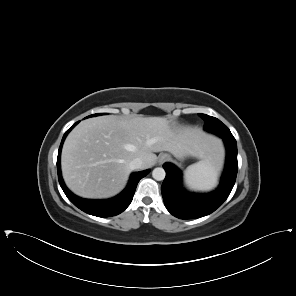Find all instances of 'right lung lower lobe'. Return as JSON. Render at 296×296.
I'll return each instance as SVG.
<instances>
[{
	"mask_svg": "<svg viewBox=\"0 0 296 296\" xmlns=\"http://www.w3.org/2000/svg\"><path fill=\"white\" fill-rule=\"evenodd\" d=\"M76 122L71 128H69L66 133L64 134L59 152H58V158H57V170H58V179L60 186L62 190L64 191L65 195L68 197V199L79 209L84 211L85 213H88L90 215H94L97 217H110L115 216L123 212L131 203L133 199L134 192L136 190V186L140 179L145 177L150 170H145L142 172H136L133 173L130 177L129 183L127 187L124 189L122 193L117 195L114 198L108 199V200H88L80 198L73 193H71L67 187L65 186L62 176H61V170H60V154H61V148L62 144L64 142L65 137L67 136L68 132L77 124Z\"/></svg>",
	"mask_w": 296,
	"mask_h": 296,
	"instance_id": "98d812e1",
	"label": "right lung lower lobe"
}]
</instances>
